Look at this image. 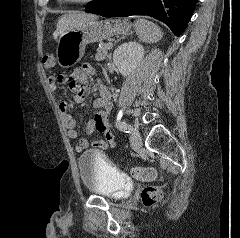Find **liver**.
Here are the masks:
<instances>
[{
  "label": "liver",
  "mask_w": 240,
  "mask_h": 238,
  "mask_svg": "<svg viewBox=\"0 0 240 238\" xmlns=\"http://www.w3.org/2000/svg\"><path fill=\"white\" fill-rule=\"evenodd\" d=\"M98 17L93 14L73 12L63 15L57 23L56 31L53 34L54 39L67 31L80 27L89 20H96Z\"/></svg>",
  "instance_id": "1"
}]
</instances>
